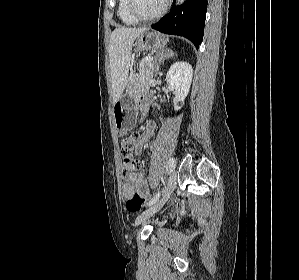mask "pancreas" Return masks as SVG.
Here are the masks:
<instances>
[{
	"label": "pancreas",
	"mask_w": 299,
	"mask_h": 280,
	"mask_svg": "<svg viewBox=\"0 0 299 280\" xmlns=\"http://www.w3.org/2000/svg\"><path fill=\"white\" fill-rule=\"evenodd\" d=\"M154 67L156 65L154 62H144L140 66V73L134 75L128 84V91L130 93H136L140 89L147 87L149 81L154 76Z\"/></svg>",
	"instance_id": "1"
}]
</instances>
